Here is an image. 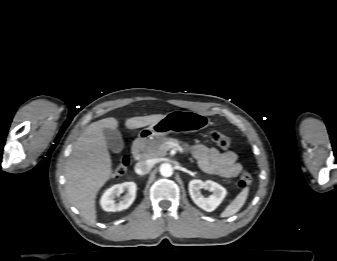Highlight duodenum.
Listing matches in <instances>:
<instances>
[{"mask_svg":"<svg viewBox=\"0 0 337 261\" xmlns=\"http://www.w3.org/2000/svg\"><path fill=\"white\" fill-rule=\"evenodd\" d=\"M145 140V136H139L138 138H136L132 144V155L133 157H138L140 154V149H141V145L143 143V141Z\"/></svg>","mask_w":337,"mask_h":261,"instance_id":"duodenum-1","label":"duodenum"}]
</instances>
